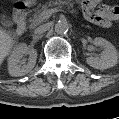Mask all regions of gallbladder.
Listing matches in <instances>:
<instances>
[{"mask_svg": "<svg viewBox=\"0 0 119 119\" xmlns=\"http://www.w3.org/2000/svg\"><path fill=\"white\" fill-rule=\"evenodd\" d=\"M2 24H3V26H5V27H10V22H9L8 19L2 20Z\"/></svg>", "mask_w": 119, "mask_h": 119, "instance_id": "1", "label": "gallbladder"}]
</instances>
